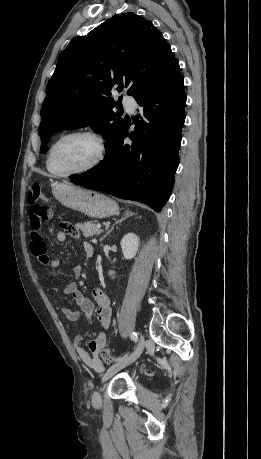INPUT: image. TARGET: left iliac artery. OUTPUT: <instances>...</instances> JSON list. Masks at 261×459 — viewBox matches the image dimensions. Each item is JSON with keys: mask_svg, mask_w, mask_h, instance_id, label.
<instances>
[{"mask_svg": "<svg viewBox=\"0 0 261 459\" xmlns=\"http://www.w3.org/2000/svg\"><path fill=\"white\" fill-rule=\"evenodd\" d=\"M130 338H131L134 342H137V341H138V335H137V333L132 332L131 335H130ZM122 358H123V357H118V358L115 359V360L117 361V360H120V359H122Z\"/></svg>", "mask_w": 261, "mask_h": 459, "instance_id": "1", "label": "left iliac artery"}]
</instances>
